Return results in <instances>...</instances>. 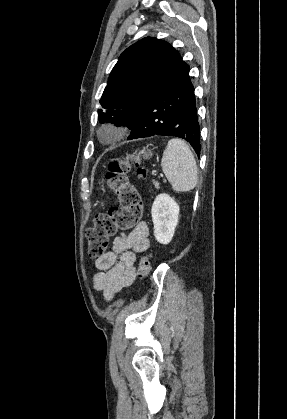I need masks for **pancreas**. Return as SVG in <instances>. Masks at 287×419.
I'll use <instances>...</instances> for the list:
<instances>
[{
	"label": "pancreas",
	"mask_w": 287,
	"mask_h": 419,
	"mask_svg": "<svg viewBox=\"0 0 287 419\" xmlns=\"http://www.w3.org/2000/svg\"><path fill=\"white\" fill-rule=\"evenodd\" d=\"M154 185L157 189H159V183L154 181Z\"/></svg>",
	"instance_id": "1"
}]
</instances>
